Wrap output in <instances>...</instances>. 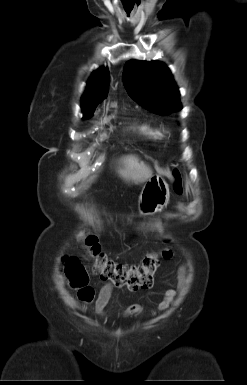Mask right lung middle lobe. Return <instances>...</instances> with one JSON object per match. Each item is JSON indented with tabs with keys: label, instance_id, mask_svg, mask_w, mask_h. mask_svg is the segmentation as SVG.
I'll use <instances>...</instances> for the list:
<instances>
[{
	"label": "right lung middle lobe",
	"instance_id": "1",
	"mask_svg": "<svg viewBox=\"0 0 247 385\" xmlns=\"http://www.w3.org/2000/svg\"><path fill=\"white\" fill-rule=\"evenodd\" d=\"M93 115V114H92ZM91 115H89V116H85L86 118H89Z\"/></svg>",
	"mask_w": 247,
	"mask_h": 385
}]
</instances>
